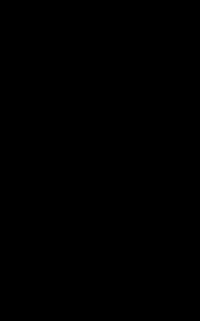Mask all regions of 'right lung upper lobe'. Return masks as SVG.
I'll return each instance as SVG.
<instances>
[{"label": "right lung upper lobe", "mask_w": 200, "mask_h": 321, "mask_svg": "<svg viewBox=\"0 0 200 321\" xmlns=\"http://www.w3.org/2000/svg\"><path fill=\"white\" fill-rule=\"evenodd\" d=\"M92 127L93 124L90 122L56 124L42 131L24 146L19 157L14 182V192L20 204L23 191L36 180L34 176L29 175L23 169L25 157L36 151L49 152L60 157L71 167L74 163L77 146Z\"/></svg>", "instance_id": "right-lung-upper-lobe-1"}]
</instances>
